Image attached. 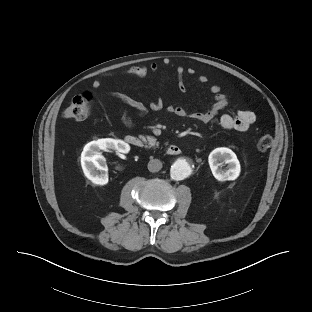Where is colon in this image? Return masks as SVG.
Masks as SVG:
<instances>
[{
  "label": "colon",
  "mask_w": 312,
  "mask_h": 312,
  "mask_svg": "<svg viewBox=\"0 0 312 312\" xmlns=\"http://www.w3.org/2000/svg\"><path fill=\"white\" fill-rule=\"evenodd\" d=\"M91 101V96L88 93L73 97L63 112L64 118L76 121L87 119L92 112ZM272 144L273 137L269 134H265L258 139L257 148L260 151H266L272 146Z\"/></svg>",
  "instance_id": "5ec220e1"
}]
</instances>
